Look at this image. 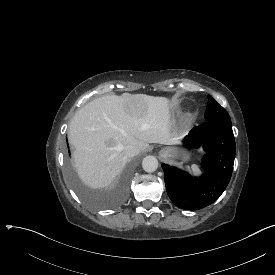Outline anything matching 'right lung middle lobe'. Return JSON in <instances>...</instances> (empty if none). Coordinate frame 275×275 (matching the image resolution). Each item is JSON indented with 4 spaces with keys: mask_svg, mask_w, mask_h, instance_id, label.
<instances>
[{
    "mask_svg": "<svg viewBox=\"0 0 275 275\" xmlns=\"http://www.w3.org/2000/svg\"><path fill=\"white\" fill-rule=\"evenodd\" d=\"M63 162L62 170L64 176L71 183V188L76 191L78 197L82 198L85 204L92 209L98 208H110L117 206L125 200L126 192L130 188L132 181L131 173H136L139 170V164L137 160L144 159L147 156L146 150H141L139 153L133 154V159L128 164V169L121 172L122 179L117 186L110 192H98L95 190L92 193V186L89 183H84L78 178L75 173L74 165V152L73 144L70 141H65L62 144Z\"/></svg>",
    "mask_w": 275,
    "mask_h": 275,
    "instance_id": "dd1d6c3e",
    "label": "right lung middle lobe"
}]
</instances>
